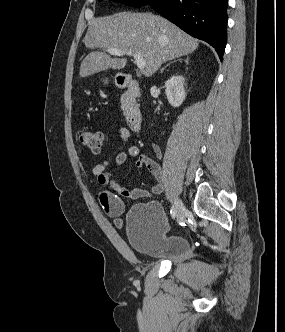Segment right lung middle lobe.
<instances>
[{"label": "right lung middle lobe", "mask_w": 285, "mask_h": 332, "mask_svg": "<svg viewBox=\"0 0 285 332\" xmlns=\"http://www.w3.org/2000/svg\"><path fill=\"white\" fill-rule=\"evenodd\" d=\"M117 1L122 2L123 4L128 6L141 7L150 4L153 0H117Z\"/></svg>", "instance_id": "right-lung-middle-lobe-1"}]
</instances>
